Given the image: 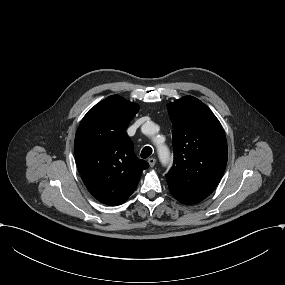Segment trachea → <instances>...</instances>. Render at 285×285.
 <instances>
[{"label":"trachea","mask_w":285,"mask_h":285,"mask_svg":"<svg viewBox=\"0 0 285 285\" xmlns=\"http://www.w3.org/2000/svg\"><path fill=\"white\" fill-rule=\"evenodd\" d=\"M152 154V148L151 147H144L141 151V158H147Z\"/></svg>","instance_id":"1"}]
</instances>
